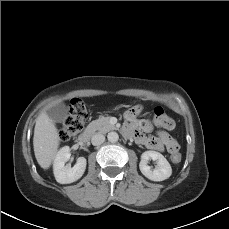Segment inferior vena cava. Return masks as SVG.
<instances>
[{"instance_id": "inferior-vena-cava-1", "label": "inferior vena cava", "mask_w": 229, "mask_h": 229, "mask_svg": "<svg viewBox=\"0 0 229 229\" xmlns=\"http://www.w3.org/2000/svg\"><path fill=\"white\" fill-rule=\"evenodd\" d=\"M105 141V136L100 133H96L92 136L91 142L94 146L101 145Z\"/></svg>"}]
</instances>
